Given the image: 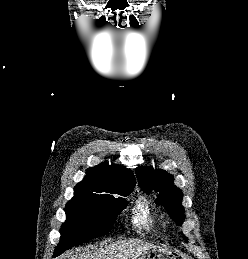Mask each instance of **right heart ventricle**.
I'll return each instance as SVG.
<instances>
[{
    "label": "right heart ventricle",
    "mask_w": 248,
    "mask_h": 259,
    "mask_svg": "<svg viewBox=\"0 0 248 259\" xmlns=\"http://www.w3.org/2000/svg\"><path fill=\"white\" fill-rule=\"evenodd\" d=\"M134 221L137 225H140L144 228L150 226L152 220L150 210L146 201L139 202Z\"/></svg>",
    "instance_id": "e07e8e85"
}]
</instances>
